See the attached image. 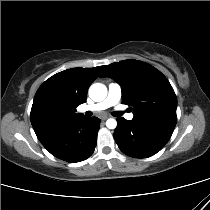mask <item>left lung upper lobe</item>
Returning <instances> with one entry per match:
<instances>
[{"instance_id":"obj_1","label":"left lung upper lobe","mask_w":210,"mask_h":210,"mask_svg":"<svg viewBox=\"0 0 210 210\" xmlns=\"http://www.w3.org/2000/svg\"><path fill=\"white\" fill-rule=\"evenodd\" d=\"M100 77L121 85L123 104L133 107L132 121L175 127L177 98L167 78L153 66L125 60L103 66Z\"/></svg>"}]
</instances>
